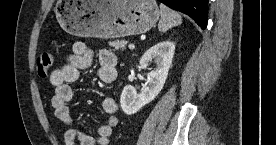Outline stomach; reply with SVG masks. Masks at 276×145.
Instances as JSON below:
<instances>
[{
	"label": "stomach",
	"mask_w": 276,
	"mask_h": 145,
	"mask_svg": "<svg viewBox=\"0 0 276 145\" xmlns=\"http://www.w3.org/2000/svg\"><path fill=\"white\" fill-rule=\"evenodd\" d=\"M55 13L69 34L103 39L143 34L160 16L155 0H60Z\"/></svg>",
	"instance_id": "0dacf381"
}]
</instances>
